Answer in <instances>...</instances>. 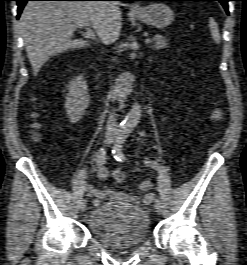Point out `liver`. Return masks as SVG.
Listing matches in <instances>:
<instances>
[{
	"label": "liver",
	"mask_w": 247,
	"mask_h": 265,
	"mask_svg": "<svg viewBox=\"0 0 247 265\" xmlns=\"http://www.w3.org/2000/svg\"><path fill=\"white\" fill-rule=\"evenodd\" d=\"M118 2L95 1H29L20 25L33 75L47 60L67 50L88 46L73 39L77 28L92 26L104 44L114 43L121 30Z\"/></svg>",
	"instance_id": "liver-1"
}]
</instances>
